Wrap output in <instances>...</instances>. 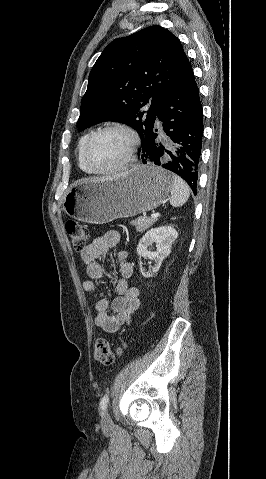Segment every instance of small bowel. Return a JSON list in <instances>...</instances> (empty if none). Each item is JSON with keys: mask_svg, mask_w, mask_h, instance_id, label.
Listing matches in <instances>:
<instances>
[{"mask_svg": "<svg viewBox=\"0 0 266 479\" xmlns=\"http://www.w3.org/2000/svg\"><path fill=\"white\" fill-rule=\"evenodd\" d=\"M122 237L118 231H108L98 235L81 252V258L86 265L87 278L83 281V289L90 294L100 291L98 280L104 275V268L98 259L105 256L109 249L117 247ZM119 275L114 282L116 296L109 301L99 298L95 304V325L106 333H114L121 327L129 325L134 313L140 306V290L128 284L132 276L133 266L126 260V254H119Z\"/></svg>", "mask_w": 266, "mask_h": 479, "instance_id": "small-bowel-1", "label": "small bowel"}]
</instances>
